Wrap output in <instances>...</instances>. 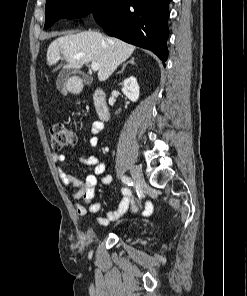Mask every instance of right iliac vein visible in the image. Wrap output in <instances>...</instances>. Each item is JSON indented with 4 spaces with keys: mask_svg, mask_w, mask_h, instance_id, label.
<instances>
[{
    "mask_svg": "<svg viewBox=\"0 0 247 296\" xmlns=\"http://www.w3.org/2000/svg\"><path fill=\"white\" fill-rule=\"evenodd\" d=\"M131 175L134 181L137 183L139 189L143 191V188L145 187V180L141 168L137 165H133L131 167Z\"/></svg>",
    "mask_w": 247,
    "mask_h": 296,
    "instance_id": "obj_1",
    "label": "right iliac vein"
}]
</instances>
